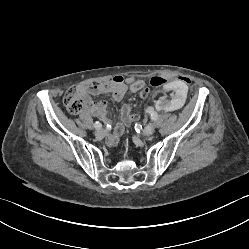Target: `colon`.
<instances>
[{
    "label": "colon",
    "mask_w": 249,
    "mask_h": 249,
    "mask_svg": "<svg viewBox=\"0 0 249 249\" xmlns=\"http://www.w3.org/2000/svg\"><path fill=\"white\" fill-rule=\"evenodd\" d=\"M167 80L161 76H155L151 79L150 83L153 87H158L164 85ZM187 82L189 80L187 79ZM148 95V89L144 90L141 93V97L145 98ZM63 104L71 114H79L81 113L87 104L85 96L83 93L77 88H70L67 90L63 96Z\"/></svg>",
    "instance_id": "1"
}]
</instances>
